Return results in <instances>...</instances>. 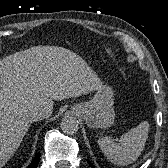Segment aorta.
<instances>
[{
  "label": "aorta",
  "mask_w": 168,
  "mask_h": 168,
  "mask_svg": "<svg viewBox=\"0 0 168 168\" xmlns=\"http://www.w3.org/2000/svg\"><path fill=\"white\" fill-rule=\"evenodd\" d=\"M60 125L62 131L69 135L76 133L79 129L78 120L73 116H65Z\"/></svg>",
  "instance_id": "1"
}]
</instances>
